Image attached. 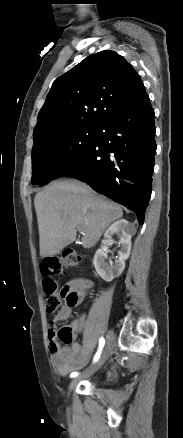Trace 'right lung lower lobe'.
Wrapping results in <instances>:
<instances>
[{"label":"right lung lower lobe","instance_id":"1","mask_svg":"<svg viewBox=\"0 0 183 438\" xmlns=\"http://www.w3.org/2000/svg\"><path fill=\"white\" fill-rule=\"evenodd\" d=\"M154 110L149 96L104 120L92 143L55 178L72 177L124 205L144 222L152 191Z\"/></svg>","mask_w":183,"mask_h":438}]
</instances>
